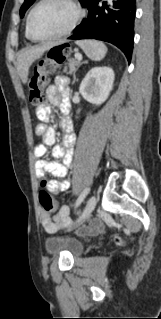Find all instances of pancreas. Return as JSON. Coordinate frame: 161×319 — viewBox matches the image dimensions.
I'll list each match as a JSON object with an SVG mask.
<instances>
[{
  "label": "pancreas",
  "mask_w": 161,
  "mask_h": 319,
  "mask_svg": "<svg viewBox=\"0 0 161 319\" xmlns=\"http://www.w3.org/2000/svg\"><path fill=\"white\" fill-rule=\"evenodd\" d=\"M79 66H80V62L78 60L70 59L64 68V72L67 74H75Z\"/></svg>",
  "instance_id": "1"
}]
</instances>
